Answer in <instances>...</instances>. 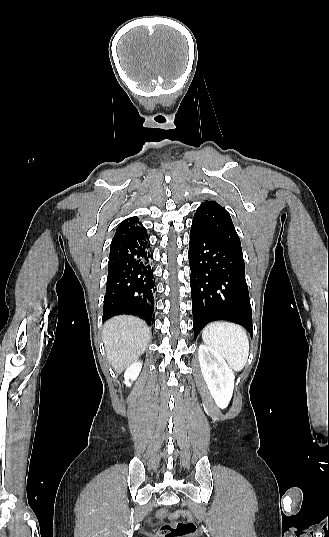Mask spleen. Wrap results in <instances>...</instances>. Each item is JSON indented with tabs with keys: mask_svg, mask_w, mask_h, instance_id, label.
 I'll return each mask as SVG.
<instances>
[{
	"mask_svg": "<svg viewBox=\"0 0 329 537\" xmlns=\"http://www.w3.org/2000/svg\"><path fill=\"white\" fill-rule=\"evenodd\" d=\"M203 342L218 351L235 371H241L248 359L249 340L238 324L217 321L202 331Z\"/></svg>",
	"mask_w": 329,
	"mask_h": 537,
	"instance_id": "1",
	"label": "spleen"
}]
</instances>
